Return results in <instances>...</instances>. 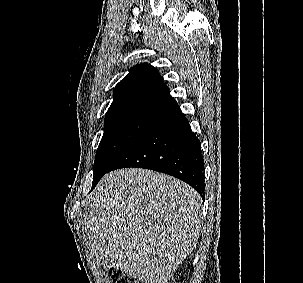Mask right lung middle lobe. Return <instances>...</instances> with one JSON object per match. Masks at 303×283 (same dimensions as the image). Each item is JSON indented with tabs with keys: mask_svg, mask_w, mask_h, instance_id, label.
Listing matches in <instances>:
<instances>
[{
	"mask_svg": "<svg viewBox=\"0 0 303 283\" xmlns=\"http://www.w3.org/2000/svg\"><path fill=\"white\" fill-rule=\"evenodd\" d=\"M155 118L148 115H126L105 119L103 137L94 161L92 188Z\"/></svg>",
	"mask_w": 303,
	"mask_h": 283,
	"instance_id": "obj_1",
	"label": "right lung middle lobe"
}]
</instances>
